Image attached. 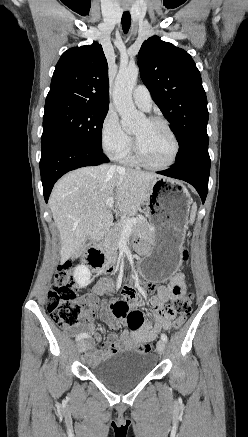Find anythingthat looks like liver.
Returning <instances> with one entry per match:
<instances>
[{"label": "liver", "mask_w": 248, "mask_h": 437, "mask_svg": "<svg viewBox=\"0 0 248 437\" xmlns=\"http://www.w3.org/2000/svg\"><path fill=\"white\" fill-rule=\"evenodd\" d=\"M158 174L111 165L83 167L63 176L54 186L49 205L61 239L60 260L75 255L87 240L106 236L113 216L106 200L113 198L120 213L133 216L148 199Z\"/></svg>", "instance_id": "1"}]
</instances>
